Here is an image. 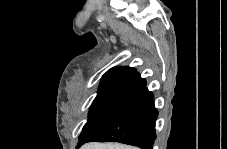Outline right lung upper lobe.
<instances>
[{
    "label": "right lung upper lobe",
    "mask_w": 227,
    "mask_h": 149,
    "mask_svg": "<svg viewBox=\"0 0 227 149\" xmlns=\"http://www.w3.org/2000/svg\"><path fill=\"white\" fill-rule=\"evenodd\" d=\"M144 86H146V80L141 78L134 68L113 67L103 75L99 90L110 87L141 90Z\"/></svg>",
    "instance_id": "obj_1"
}]
</instances>
